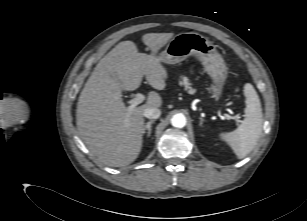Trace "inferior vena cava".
I'll return each instance as SVG.
<instances>
[{
	"mask_svg": "<svg viewBox=\"0 0 307 221\" xmlns=\"http://www.w3.org/2000/svg\"><path fill=\"white\" fill-rule=\"evenodd\" d=\"M143 115L148 119H157L161 115V110L157 107H149L144 110Z\"/></svg>",
	"mask_w": 307,
	"mask_h": 221,
	"instance_id": "inferior-vena-cava-1",
	"label": "inferior vena cava"
}]
</instances>
